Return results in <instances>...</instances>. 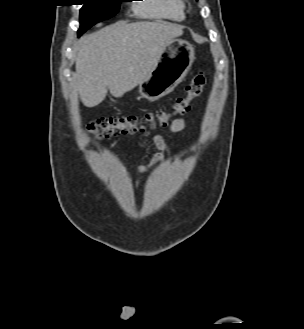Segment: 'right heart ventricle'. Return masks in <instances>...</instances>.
Listing matches in <instances>:
<instances>
[{
  "label": "right heart ventricle",
  "mask_w": 304,
  "mask_h": 329,
  "mask_svg": "<svg viewBox=\"0 0 304 329\" xmlns=\"http://www.w3.org/2000/svg\"><path fill=\"white\" fill-rule=\"evenodd\" d=\"M135 11L143 17L180 21L184 18L185 5L183 0H142Z\"/></svg>",
  "instance_id": "obj_1"
}]
</instances>
